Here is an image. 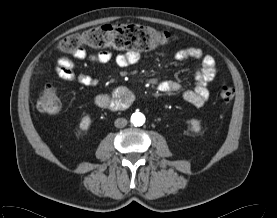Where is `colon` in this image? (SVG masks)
<instances>
[{"instance_id":"obj_1","label":"colon","mask_w":277,"mask_h":218,"mask_svg":"<svg viewBox=\"0 0 277 218\" xmlns=\"http://www.w3.org/2000/svg\"><path fill=\"white\" fill-rule=\"evenodd\" d=\"M170 40L169 33L148 26L127 23L105 24L65 37L57 49L68 54H74L84 47L145 52L166 45ZM234 94L232 86L225 83L218 86V96L222 102L229 103ZM61 107L57 89L53 86L45 87L37 102L38 110L46 114H57Z\"/></svg>"}]
</instances>
